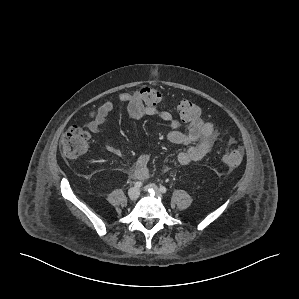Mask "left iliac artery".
<instances>
[{
    "label": "left iliac artery",
    "mask_w": 299,
    "mask_h": 299,
    "mask_svg": "<svg viewBox=\"0 0 299 299\" xmlns=\"http://www.w3.org/2000/svg\"><path fill=\"white\" fill-rule=\"evenodd\" d=\"M159 190H160L162 193H166V192H167V189H166V187H164V186H160Z\"/></svg>",
    "instance_id": "left-iliac-artery-1"
}]
</instances>
